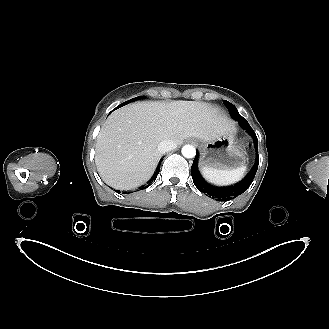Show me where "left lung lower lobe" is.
I'll return each instance as SVG.
<instances>
[{
	"mask_svg": "<svg viewBox=\"0 0 329 329\" xmlns=\"http://www.w3.org/2000/svg\"><path fill=\"white\" fill-rule=\"evenodd\" d=\"M241 126L248 132V134L251 137V140L253 142V146L256 151V161L251 169V171L246 175V177L236 183L235 185H231L228 187H217L214 185H211L208 183L200 174L198 170V154H196L195 159L193 161L192 167H191V175L193 182L198 190L206 194L207 196L216 199L218 201H225L229 199L236 198L237 196L241 195L243 192H245L249 186L251 185L254 176L256 174L258 164H259V156H258V139L254 132V130L251 128L249 123L246 119L241 120L240 122Z\"/></svg>",
	"mask_w": 329,
	"mask_h": 329,
	"instance_id": "0a47b994",
	"label": "left lung lower lobe"
}]
</instances>
